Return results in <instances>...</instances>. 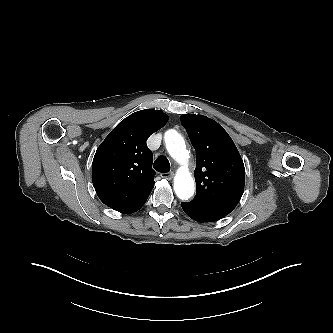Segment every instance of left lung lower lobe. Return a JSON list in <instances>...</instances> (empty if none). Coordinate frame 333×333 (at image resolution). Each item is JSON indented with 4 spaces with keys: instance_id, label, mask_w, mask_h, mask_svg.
<instances>
[{
    "instance_id": "1",
    "label": "left lung lower lobe",
    "mask_w": 333,
    "mask_h": 333,
    "mask_svg": "<svg viewBox=\"0 0 333 333\" xmlns=\"http://www.w3.org/2000/svg\"><path fill=\"white\" fill-rule=\"evenodd\" d=\"M181 206L184 212L190 218L200 223L213 222L225 217L224 215H221L214 210L203 207L199 204H195L193 202H182Z\"/></svg>"
}]
</instances>
